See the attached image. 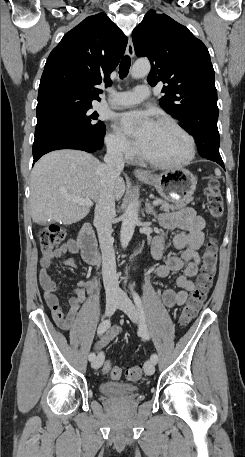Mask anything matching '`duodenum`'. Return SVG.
<instances>
[{"label":"duodenum","instance_id":"1","mask_svg":"<svg viewBox=\"0 0 245 457\" xmlns=\"http://www.w3.org/2000/svg\"><path fill=\"white\" fill-rule=\"evenodd\" d=\"M78 244L82 258L89 264H96L99 261V252L96 237L90 223H85L81 228Z\"/></svg>","mask_w":245,"mask_h":457}]
</instances>
